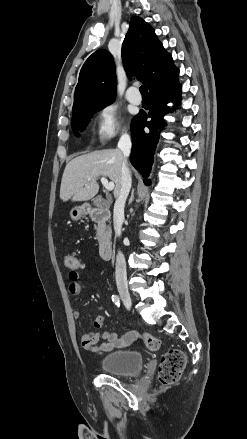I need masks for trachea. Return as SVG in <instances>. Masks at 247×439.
<instances>
[{
  "label": "trachea",
  "mask_w": 247,
  "mask_h": 439,
  "mask_svg": "<svg viewBox=\"0 0 247 439\" xmlns=\"http://www.w3.org/2000/svg\"><path fill=\"white\" fill-rule=\"evenodd\" d=\"M140 92H141L142 96H149L148 89H147L146 85H142L140 87Z\"/></svg>",
  "instance_id": "1"
}]
</instances>
